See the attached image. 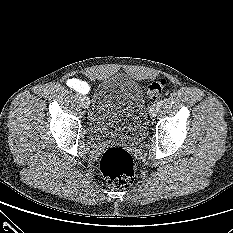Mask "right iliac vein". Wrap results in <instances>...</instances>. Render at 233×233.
Here are the masks:
<instances>
[{
    "label": "right iliac vein",
    "instance_id": "obj_1",
    "mask_svg": "<svg viewBox=\"0 0 233 233\" xmlns=\"http://www.w3.org/2000/svg\"><path fill=\"white\" fill-rule=\"evenodd\" d=\"M80 102H81V105H82L84 108H87V107L89 106V104H90L89 99H88L86 96L81 97Z\"/></svg>",
    "mask_w": 233,
    "mask_h": 233
}]
</instances>
